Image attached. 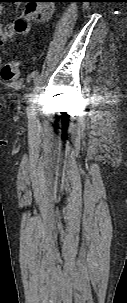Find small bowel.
Wrapping results in <instances>:
<instances>
[{"label":"small bowel","mask_w":127,"mask_h":303,"mask_svg":"<svg viewBox=\"0 0 127 303\" xmlns=\"http://www.w3.org/2000/svg\"><path fill=\"white\" fill-rule=\"evenodd\" d=\"M50 1L52 0L29 1L25 5L23 14L18 19L6 25L5 28L0 24V45L14 37L26 35L30 30L32 21H48L53 14L54 6L43 2ZM1 10L0 6V12Z\"/></svg>","instance_id":"small-bowel-1"}]
</instances>
